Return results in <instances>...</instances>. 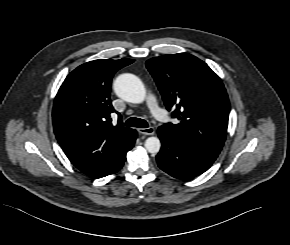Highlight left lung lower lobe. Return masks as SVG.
<instances>
[{
  "label": "left lung lower lobe",
  "mask_w": 290,
  "mask_h": 245,
  "mask_svg": "<svg viewBox=\"0 0 290 245\" xmlns=\"http://www.w3.org/2000/svg\"><path fill=\"white\" fill-rule=\"evenodd\" d=\"M162 148L156 156L158 166L169 175L192 179L205 172L218 154L178 140L165 129L158 128Z\"/></svg>",
  "instance_id": "1"
}]
</instances>
